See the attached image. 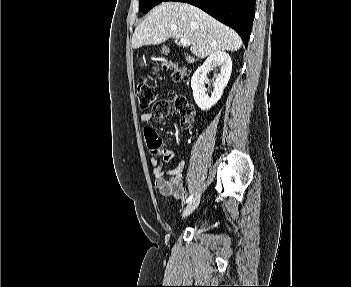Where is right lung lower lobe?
I'll use <instances>...</instances> for the list:
<instances>
[{"instance_id":"98d812e1","label":"right lung lower lobe","mask_w":351,"mask_h":287,"mask_svg":"<svg viewBox=\"0 0 351 287\" xmlns=\"http://www.w3.org/2000/svg\"><path fill=\"white\" fill-rule=\"evenodd\" d=\"M178 1L199 7L212 17L233 28L248 45L255 15L256 0H164Z\"/></svg>"}]
</instances>
